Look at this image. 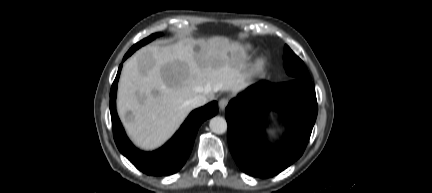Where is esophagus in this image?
<instances>
[{
  "label": "esophagus",
  "mask_w": 432,
  "mask_h": 193,
  "mask_svg": "<svg viewBox=\"0 0 432 193\" xmlns=\"http://www.w3.org/2000/svg\"><path fill=\"white\" fill-rule=\"evenodd\" d=\"M228 103H229V99L228 98H225V97L221 98L219 100V108H220V110H222V111L225 110V108L227 107Z\"/></svg>",
  "instance_id": "esophagus-1"
}]
</instances>
